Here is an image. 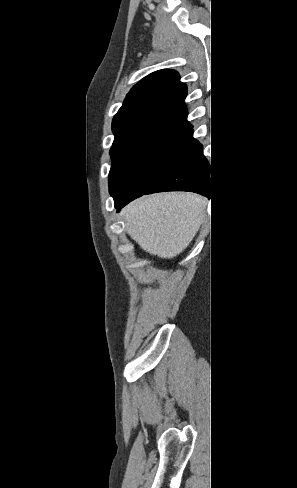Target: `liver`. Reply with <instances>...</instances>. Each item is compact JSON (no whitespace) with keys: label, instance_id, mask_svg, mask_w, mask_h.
Wrapping results in <instances>:
<instances>
[{"label":"liver","instance_id":"1","mask_svg":"<svg viewBox=\"0 0 297 488\" xmlns=\"http://www.w3.org/2000/svg\"><path fill=\"white\" fill-rule=\"evenodd\" d=\"M207 200L192 193L167 192L139 198L122 211L126 231L146 252L174 258L198 232Z\"/></svg>","mask_w":297,"mask_h":488}]
</instances>
